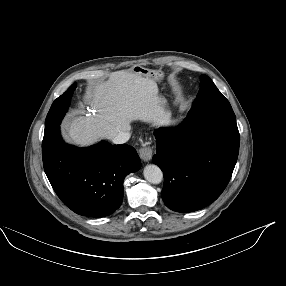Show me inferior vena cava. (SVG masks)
<instances>
[{"label":"inferior vena cava","mask_w":286,"mask_h":286,"mask_svg":"<svg viewBox=\"0 0 286 286\" xmlns=\"http://www.w3.org/2000/svg\"><path fill=\"white\" fill-rule=\"evenodd\" d=\"M130 136H131L130 129L123 130V131H120L114 137H112L111 140H112V142L114 144H123V143H126L129 140Z\"/></svg>","instance_id":"obj_1"}]
</instances>
